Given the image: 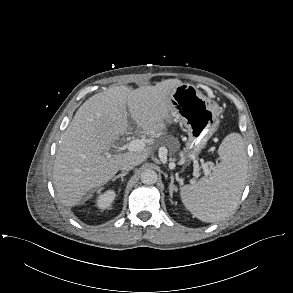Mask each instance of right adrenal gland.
Masks as SVG:
<instances>
[{
  "label": "right adrenal gland",
  "instance_id": "obj_1",
  "mask_svg": "<svg viewBox=\"0 0 293 293\" xmlns=\"http://www.w3.org/2000/svg\"><path fill=\"white\" fill-rule=\"evenodd\" d=\"M128 173L127 172H123L117 176H115L112 181L114 182L115 180H117L118 178H121V181L123 182L124 181V176H126Z\"/></svg>",
  "mask_w": 293,
  "mask_h": 293
}]
</instances>
